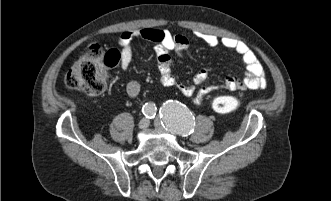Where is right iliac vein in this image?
Returning <instances> with one entry per match:
<instances>
[{
	"instance_id": "right-iliac-vein-1",
	"label": "right iliac vein",
	"mask_w": 331,
	"mask_h": 201,
	"mask_svg": "<svg viewBox=\"0 0 331 201\" xmlns=\"http://www.w3.org/2000/svg\"><path fill=\"white\" fill-rule=\"evenodd\" d=\"M149 119L147 118H143L140 122H139V128L140 129H146L149 126Z\"/></svg>"
}]
</instances>
